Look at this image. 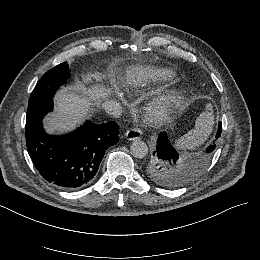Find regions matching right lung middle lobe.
I'll use <instances>...</instances> for the list:
<instances>
[{
  "mask_svg": "<svg viewBox=\"0 0 260 260\" xmlns=\"http://www.w3.org/2000/svg\"><path fill=\"white\" fill-rule=\"evenodd\" d=\"M66 62L46 72L33 90L28 103L26 126L42 119L53 109V96L58 87L70 76Z\"/></svg>",
  "mask_w": 260,
  "mask_h": 260,
  "instance_id": "right-lung-middle-lobe-1",
  "label": "right lung middle lobe"
}]
</instances>
